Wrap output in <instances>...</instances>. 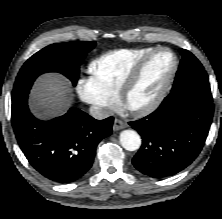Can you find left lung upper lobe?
<instances>
[{
    "instance_id": "obj_1",
    "label": "left lung upper lobe",
    "mask_w": 222,
    "mask_h": 219,
    "mask_svg": "<svg viewBox=\"0 0 222 219\" xmlns=\"http://www.w3.org/2000/svg\"><path fill=\"white\" fill-rule=\"evenodd\" d=\"M182 60L171 92L192 90L212 96L208 76L199 60L189 51L180 49Z\"/></svg>"
}]
</instances>
